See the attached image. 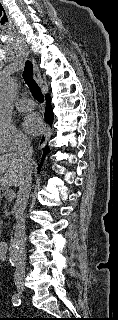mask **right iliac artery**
Returning a JSON list of instances; mask_svg holds the SVG:
<instances>
[{
  "mask_svg": "<svg viewBox=\"0 0 118 320\" xmlns=\"http://www.w3.org/2000/svg\"><path fill=\"white\" fill-rule=\"evenodd\" d=\"M12 303L14 306H19L21 304V298L19 294H14L12 297Z\"/></svg>",
  "mask_w": 118,
  "mask_h": 320,
  "instance_id": "1",
  "label": "right iliac artery"
}]
</instances>
